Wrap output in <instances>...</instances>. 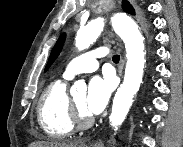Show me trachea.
<instances>
[{
  "mask_svg": "<svg viewBox=\"0 0 183 147\" xmlns=\"http://www.w3.org/2000/svg\"><path fill=\"white\" fill-rule=\"evenodd\" d=\"M112 60H113V62L118 63L119 60H120V56L116 54V55H114V56L112 57Z\"/></svg>",
  "mask_w": 183,
  "mask_h": 147,
  "instance_id": "obj_1",
  "label": "trachea"
}]
</instances>
